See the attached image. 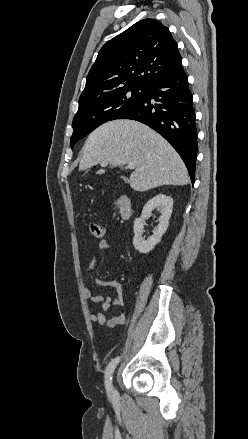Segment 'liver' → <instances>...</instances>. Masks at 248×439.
I'll use <instances>...</instances> for the list:
<instances>
[{
    "instance_id": "6515ba94",
    "label": "liver",
    "mask_w": 248,
    "mask_h": 439,
    "mask_svg": "<svg viewBox=\"0 0 248 439\" xmlns=\"http://www.w3.org/2000/svg\"><path fill=\"white\" fill-rule=\"evenodd\" d=\"M100 162L111 168L135 164L130 175L132 189L139 192L162 185H186L188 172L178 153L158 133L133 120H113L95 129L86 140L79 170ZM105 173L99 170L98 174Z\"/></svg>"
}]
</instances>
